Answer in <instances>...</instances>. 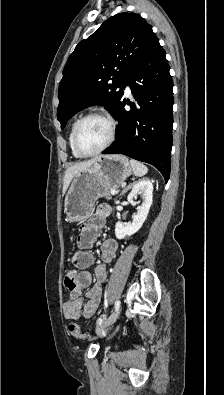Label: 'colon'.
I'll return each mask as SVG.
<instances>
[{
	"instance_id": "5ec220e1",
	"label": "colon",
	"mask_w": 224,
	"mask_h": 395,
	"mask_svg": "<svg viewBox=\"0 0 224 395\" xmlns=\"http://www.w3.org/2000/svg\"><path fill=\"white\" fill-rule=\"evenodd\" d=\"M64 283L66 288L71 291L76 287L75 272L73 270L67 271L65 274ZM69 333L78 339H85L88 336V332L77 323H71L69 325Z\"/></svg>"
}]
</instances>
